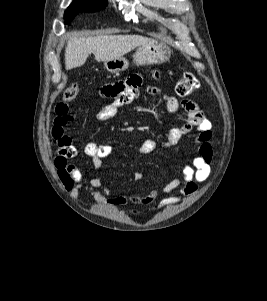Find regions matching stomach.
Returning a JSON list of instances; mask_svg holds the SVG:
<instances>
[{
  "label": "stomach",
  "mask_w": 267,
  "mask_h": 301,
  "mask_svg": "<svg viewBox=\"0 0 267 301\" xmlns=\"http://www.w3.org/2000/svg\"><path fill=\"white\" fill-rule=\"evenodd\" d=\"M133 57L136 65L162 64L170 59L171 49L166 43L152 40L138 46ZM128 66V61L123 57L104 62L105 69L110 73L122 72Z\"/></svg>",
  "instance_id": "obj_1"
}]
</instances>
